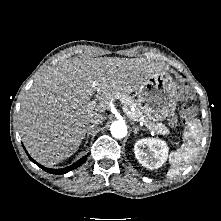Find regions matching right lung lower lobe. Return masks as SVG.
<instances>
[{
  "label": "right lung lower lobe",
  "mask_w": 221,
  "mask_h": 221,
  "mask_svg": "<svg viewBox=\"0 0 221 221\" xmlns=\"http://www.w3.org/2000/svg\"><path fill=\"white\" fill-rule=\"evenodd\" d=\"M27 153V151H26ZM29 159L35 163L36 165H38L41 169H43L44 171L48 172V173H52V174H57V175H60V174H65L77 167H79L80 165H82L86 159H87V156L88 155H85L84 157H82L80 160H78L77 162H75L74 164L70 165L69 167H66V168H62V169H51V168H46L42 165H40L39 163H37L35 160H33L30 155L27 153Z\"/></svg>",
  "instance_id": "right-lung-lower-lobe-1"
}]
</instances>
